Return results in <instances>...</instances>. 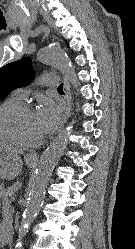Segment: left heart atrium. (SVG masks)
<instances>
[{"label": "left heart atrium", "mask_w": 135, "mask_h": 249, "mask_svg": "<svg viewBox=\"0 0 135 249\" xmlns=\"http://www.w3.org/2000/svg\"><path fill=\"white\" fill-rule=\"evenodd\" d=\"M61 112L62 106L60 103L49 98L42 100L35 112L42 135L49 133L56 127L60 120Z\"/></svg>", "instance_id": "left-heart-atrium-1"}]
</instances>
